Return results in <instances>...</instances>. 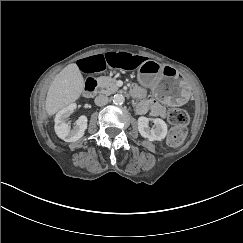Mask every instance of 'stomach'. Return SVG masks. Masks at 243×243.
Segmentation results:
<instances>
[{
    "mask_svg": "<svg viewBox=\"0 0 243 243\" xmlns=\"http://www.w3.org/2000/svg\"><path fill=\"white\" fill-rule=\"evenodd\" d=\"M138 81L152 90L153 94L169 106L184 105L190 98L188 83L180 73L170 65H160L149 60L138 70Z\"/></svg>",
    "mask_w": 243,
    "mask_h": 243,
    "instance_id": "obj_1",
    "label": "stomach"
}]
</instances>
